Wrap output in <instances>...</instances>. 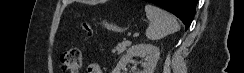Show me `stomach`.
I'll list each match as a JSON object with an SVG mask.
<instances>
[{
    "instance_id": "1",
    "label": "stomach",
    "mask_w": 244,
    "mask_h": 73,
    "mask_svg": "<svg viewBox=\"0 0 244 73\" xmlns=\"http://www.w3.org/2000/svg\"><path fill=\"white\" fill-rule=\"evenodd\" d=\"M103 26L106 29L114 31V32H123V31H125L127 29L126 27H119L117 24L110 23L108 21H103Z\"/></svg>"
}]
</instances>
